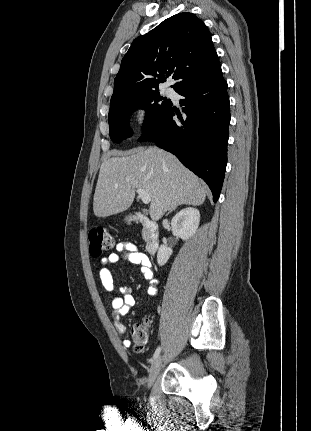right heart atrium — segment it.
Here are the masks:
<instances>
[{"label":"right heart atrium","instance_id":"1","mask_svg":"<svg viewBox=\"0 0 311 431\" xmlns=\"http://www.w3.org/2000/svg\"><path fill=\"white\" fill-rule=\"evenodd\" d=\"M132 116L135 124L139 128H146L151 119V112L148 104L145 102H137L132 108Z\"/></svg>","mask_w":311,"mask_h":431}]
</instances>
